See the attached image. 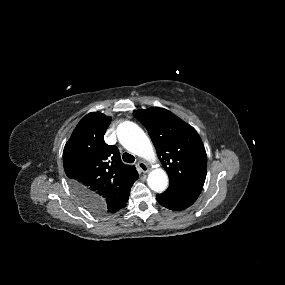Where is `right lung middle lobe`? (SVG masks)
<instances>
[{
    "mask_svg": "<svg viewBox=\"0 0 285 285\" xmlns=\"http://www.w3.org/2000/svg\"><path fill=\"white\" fill-rule=\"evenodd\" d=\"M87 209H89L92 213L104 216L105 213L99 210L96 206L84 205Z\"/></svg>",
    "mask_w": 285,
    "mask_h": 285,
    "instance_id": "obj_1",
    "label": "right lung middle lobe"
}]
</instances>
